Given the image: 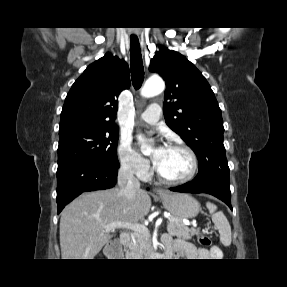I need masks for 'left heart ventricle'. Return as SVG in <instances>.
<instances>
[{
  "label": "left heart ventricle",
  "instance_id": "b2bd125f",
  "mask_svg": "<svg viewBox=\"0 0 287 287\" xmlns=\"http://www.w3.org/2000/svg\"><path fill=\"white\" fill-rule=\"evenodd\" d=\"M157 151L154 152V157ZM155 164L159 171L169 179H179L186 176L191 170V159L182 149L166 147L157 157Z\"/></svg>",
  "mask_w": 287,
  "mask_h": 287
}]
</instances>
